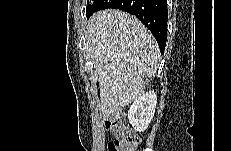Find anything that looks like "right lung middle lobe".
Wrapping results in <instances>:
<instances>
[{
  "instance_id": "dd1d6c3e",
  "label": "right lung middle lobe",
  "mask_w": 231,
  "mask_h": 151,
  "mask_svg": "<svg viewBox=\"0 0 231 151\" xmlns=\"http://www.w3.org/2000/svg\"><path fill=\"white\" fill-rule=\"evenodd\" d=\"M88 3H89V2H88ZM90 6H91V5H90V4H88V5H87V8H86V10H87V9H88Z\"/></svg>"
}]
</instances>
